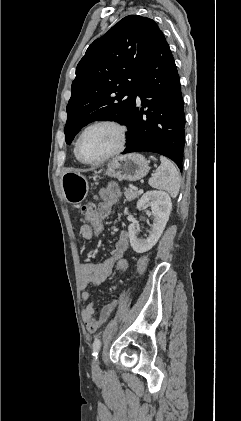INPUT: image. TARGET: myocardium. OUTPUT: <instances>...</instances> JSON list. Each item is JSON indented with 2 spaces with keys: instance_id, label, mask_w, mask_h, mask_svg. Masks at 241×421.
I'll use <instances>...</instances> for the list:
<instances>
[{
  "instance_id": "1",
  "label": "myocardium",
  "mask_w": 241,
  "mask_h": 421,
  "mask_svg": "<svg viewBox=\"0 0 241 421\" xmlns=\"http://www.w3.org/2000/svg\"><path fill=\"white\" fill-rule=\"evenodd\" d=\"M97 126H110L112 128H114L117 133H118V143L117 146L109 153H107L106 155H104L103 157L97 159V160H93V161H89V160H85L80 153V143L81 140L83 138V136L85 135V133ZM127 142V128L120 122L115 121V120H111V119H101V120H97L93 123H90L89 125H87L79 134L76 143H75V155L77 157V159L87 165H99L101 163H104L105 161L117 156L118 154H120L126 145Z\"/></svg>"
}]
</instances>
